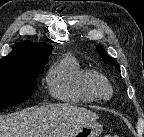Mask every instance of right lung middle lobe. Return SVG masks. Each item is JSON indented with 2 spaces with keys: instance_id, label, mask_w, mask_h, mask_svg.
Here are the masks:
<instances>
[{
  "instance_id": "1",
  "label": "right lung middle lobe",
  "mask_w": 144,
  "mask_h": 137,
  "mask_svg": "<svg viewBox=\"0 0 144 137\" xmlns=\"http://www.w3.org/2000/svg\"><path fill=\"white\" fill-rule=\"evenodd\" d=\"M46 63L0 66V110L32 95L36 78Z\"/></svg>"
}]
</instances>
